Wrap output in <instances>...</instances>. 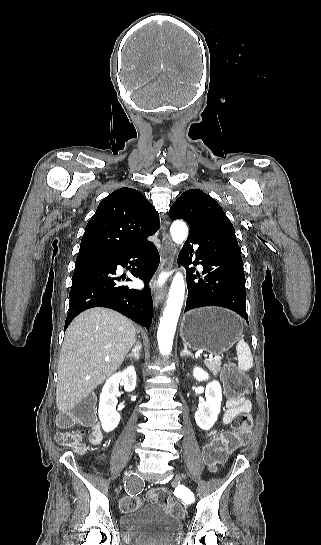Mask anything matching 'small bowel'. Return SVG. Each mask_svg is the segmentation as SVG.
Segmentation results:
<instances>
[{
  "instance_id": "1",
  "label": "small bowel",
  "mask_w": 321,
  "mask_h": 545,
  "mask_svg": "<svg viewBox=\"0 0 321 545\" xmlns=\"http://www.w3.org/2000/svg\"><path fill=\"white\" fill-rule=\"evenodd\" d=\"M251 409V403L244 397L228 398L226 401V411L222 417V423H230L236 416L243 412H249ZM213 434V433H211ZM103 439V432L100 424L94 425L90 434V441L92 443H99Z\"/></svg>"
}]
</instances>
